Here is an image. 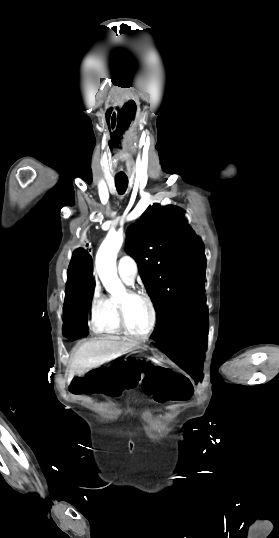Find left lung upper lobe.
<instances>
[{
  "mask_svg": "<svg viewBox=\"0 0 279 538\" xmlns=\"http://www.w3.org/2000/svg\"><path fill=\"white\" fill-rule=\"evenodd\" d=\"M181 212L155 204L127 229L126 252L156 310L152 336L174 334L206 308L204 247Z\"/></svg>",
  "mask_w": 279,
  "mask_h": 538,
  "instance_id": "left-lung-upper-lobe-1",
  "label": "left lung upper lobe"
}]
</instances>
